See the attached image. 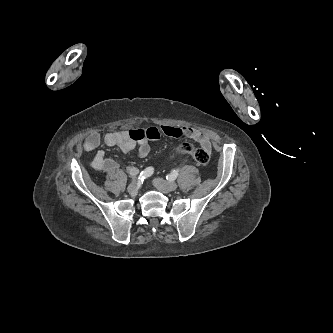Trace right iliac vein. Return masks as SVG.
<instances>
[{
    "label": "right iliac vein",
    "instance_id": "obj_1",
    "mask_svg": "<svg viewBox=\"0 0 333 333\" xmlns=\"http://www.w3.org/2000/svg\"><path fill=\"white\" fill-rule=\"evenodd\" d=\"M128 192L132 195H136L138 192V183L132 182L127 188Z\"/></svg>",
    "mask_w": 333,
    "mask_h": 333
}]
</instances>
